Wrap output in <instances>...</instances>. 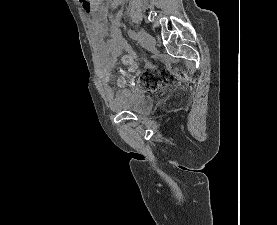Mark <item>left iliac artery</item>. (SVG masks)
Instances as JSON below:
<instances>
[{
    "label": "left iliac artery",
    "mask_w": 277,
    "mask_h": 225,
    "mask_svg": "<svg viewBox=\"0 0 277 225\" xmlns=\"http://www.w3.org/2000/svg\"><path fill=\"white\" fill-rule=\"evenodd\" d=\"M128 35H129V37H130L131 39H133V40H136V39H137V35H136L135 31L132 30V29H129V30H128Z\"/></svg>",
    "instance_id": "left-iliac-artery-1"
}]
</instances>
